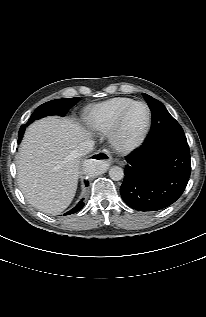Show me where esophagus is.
<instances>
[{
	"label": "esophagus",
	"mask_w": 206,
	"mask_h": 317,
	"mask_svg": "<svg viewBox=\"0 0 206 317\" xmlns=\"http://www.w3.org/2000/svg\"><path fill=\"white\" fill-rule=\"evenodd\" d=\"M93 161H96L106 167L111 165L112 163V157L110 155V152L108 150H102L94 154Z\"/></svg>",
	"instance_id": "obj_1"
}]
</instances>
